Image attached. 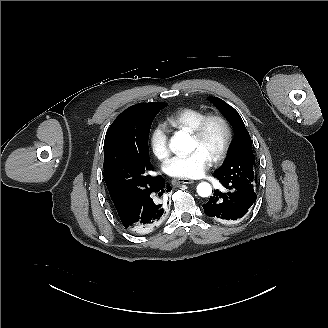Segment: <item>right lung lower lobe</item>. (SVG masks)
I'll return each instance as SVG.
<instances>
[{
    "instance_id": "98d812e1",
    "label": "right lung lower lobe",
    "mask_w": 328,
    "mask_h": 328,
    "mask_svg": "<svg viewBox=\"0 0 328 328\" xmlns=\"http://www.w3.org/2000/svg\"><path fill=\"white\" fill-rule=\"evenodd\" d=\"M171 191L170 184L166 185L160 176L153 189L142 199L130 205L128 214L121 218L123 226L138 234L149 233L163 219L167 203L162 196Z\"/></svg>"
}]
</instances>
